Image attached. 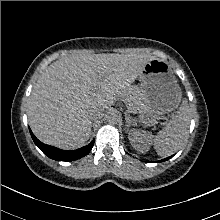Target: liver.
<instances>
[{
  "label": "liver",
  "mask_w": 220,
  "mask_h": 220,
  "mask_svg": "<svg viewBox=\"0 0 220 220\" xmlns=\"http://www.w3.org/2000/svg\"><path fill=\"white\" fill-rule=\"evenodd\" d=\"M148 54H75L53 62L39 77L28 100V119L36 137L72 150L90 137L94 109H107L123 96Z\"/></svg>",
  "instance_id": "6515ba94"
}]
</instances>
